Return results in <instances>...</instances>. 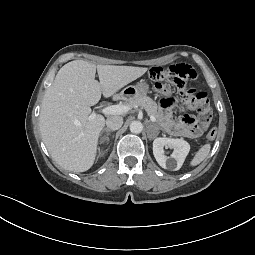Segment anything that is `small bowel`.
Returning a JSON list of instances; mask_svg holds the SVG:
<instances>
[{"label":"small bowel","mask_w":255,"mask_h":255,"mask_svg":"<svg viewBox=\"0 0 255 255\" xmlns=\"http://www.w3.org/2000/svg\"><path fill=\"white\" fill-rule=\"evenodd\" d=\"M161 109L164 127L170 134L190 139L197 138L202 134V130L197 126L196 119L191 114L183 115L180 120H173L172 99H163Z\"/></svg>","instance_id":"c3829d8e"}]
</instances>
